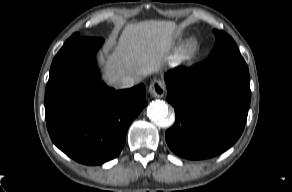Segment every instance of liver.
Here are the masks:
<instances>
[{
	"label": "liver",
	"mask_w": 292,
	"mask_h": 192,
	"mask_svg": "<svg viewBox=\"0 0 292 192\" xmlns=\"http://www.w3.org/2000/svg\"><path fill=\"white\" fill-rule=\"evenodd\" d=\"M177 34V25L172 21L147 20L126 25L114 50L106 56L108 83L120 88L125 76L139 81L158 72Z\"/></svg>",
	"instance_id": "obj_1"
}]
</instances>
